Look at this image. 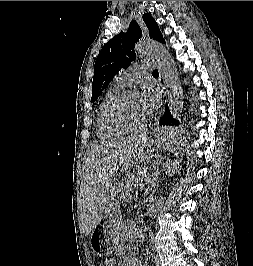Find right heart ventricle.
Segmentation results:
<instances>
[{
    "mask_svg": "<svg viewBox=\"0 0 253 266\" xmlns=\"http://www.w3.org/2000/svg\"><path fill=\"white\" fill-rule=\"evenodd\" d=\"M123 89V85L116 83L111 86L103 96L97 109L96 114V135L101 140L112 139L120 136L122 133L112 130L105 123V111L110 101L119 94Z\"/></svg>",
    "mask_w": 253,
    "mask_h": 266,
    "instance_id": "e07e8e85",
    "label": "right heart ventricle"
}]
</instances>
